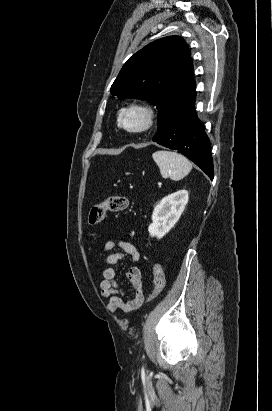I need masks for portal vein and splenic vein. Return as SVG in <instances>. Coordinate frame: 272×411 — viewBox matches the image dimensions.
<instances>
[{"label":"portal vein and splenic vein","instance_id":"obj_1","mask_svg":"<svg viewBox=\"0 0 272 411\" xmlns=\"http://www.w3.org/2000/svg\"><path fill=\"white\" fill-rule=\"evenodd\" d=\"M158 185H159V186H161V185H162V183H161V182H159V183H158Z\"/></svg>","mask_w":272,"mask_h":411}]
</instances>
